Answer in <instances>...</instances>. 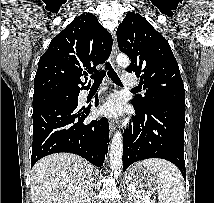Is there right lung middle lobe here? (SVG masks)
I'll list each match as a JSON object with an SVG mask.
<instances>
[{"mask_svg":"<svg viewBox=\"0 0 214 203\" xmlns=\"http://www.w3.org/2000/svg\"><path fill=\"white\" fill-rule=\"evenodd\" d=\"M76 93L56 94L33 99V110L43 107L49 103L61 100L75 101L77 100Z\"/></svg>","mask_w":214,"mask_h":203,"instance_id":"dd1d6c3e","label":"right lung middle lobe"}]
</instances>
